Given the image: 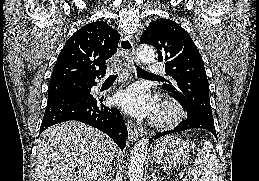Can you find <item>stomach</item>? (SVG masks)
I'll use <instances>...</instances> for the list:
<instances>
[{"instance_id":"obj_1","label":"stomach","mask_w":259,"mask_h":181,"mask_svg":"<svg viewBox=\"0 0 259 181\" xmlns=\"http://www.w3.org/2000/svg\"><path fill=\"white\" fill-rule=\"evenodd\" d=\"M191 147L175 136H166L156 142L151 151L152 162L165 170L187 162Z\"/></svg>"}]
</instances>
